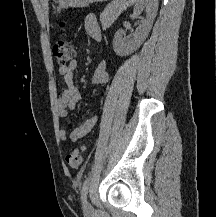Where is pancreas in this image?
<instances>
[{
	"instance_id": "pancreas-1",
	"label": "pancreas",
	"mask_w": 216,
	"mask_h": 217,
	"mask_svg": "<svg viewBox=\"0 0 216 217\" xmlns=\"http://www.w3.org/2000/svg\"><path fill=\"white\" fill-rule=\"evenodd\" d=\"M124 8V0H113L112 3L107 5L104 11L100 14V23L102 28L104 30L109 28L124 10Z\"/></svg>"
}]
</instances>
